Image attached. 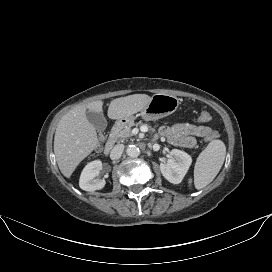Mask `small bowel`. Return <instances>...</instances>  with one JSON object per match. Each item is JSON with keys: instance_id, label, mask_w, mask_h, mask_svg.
Listing matches in <instances>:
<instances>
[{"instance_id": "small-bowel-1", "label": "small bowel", "mask_w": 272, "mask_h": 272, "mask_svg": "<svg viewBox=\"0 0 272 272\" xmlns=\"http://www.w3.org/2000/svg\"><path fill=\"white\" fill-rule=\"evenodd\" d=\"M211 129L205 125H194L190 123H176L169 127H163L160 134L176 146L191 148L196 144V138H206Z\"/></svg>"}]
</instances>
